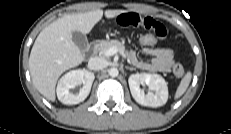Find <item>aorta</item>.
Here are the masks:
<instances>
[{"mask_svg":"<svg viewBox=\"0 0 231 134\" xmlns=\"http://www.w3.org/2000/svg\"><path fill=\"white\" fill-rule=\"evenodd\" d=\"M118 74H119V71H118L117 68L112 67V68L109 69V75H110L111 77H117Z\"/></svg>","mask_w":231,"mask_h":134,"instance_id":"1","label":"aorta"}]
</instances>
